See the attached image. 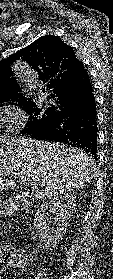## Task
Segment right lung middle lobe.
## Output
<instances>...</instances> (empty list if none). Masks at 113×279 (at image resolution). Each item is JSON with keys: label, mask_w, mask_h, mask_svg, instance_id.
<instances>
[{"label": "right lung middle lobe", "mask_w": 113, "mask_h": 279, "mask_svg": "<svg viewBox=\"0 0 113 279\" xmlns=\"http://www.w3.org/2000/svg\"><path fill=\"white\" fill-rule=\"evenodd\" d=\"M23 105L25 111L30 114V118L26 124V127L22 130V133H25L32 128H35L40 125L46 124L49 120H51L56 112L54 107L45 108H37L34 102L24 103Z\"/></svg>", "instance_id": "1"}]
</instances>
